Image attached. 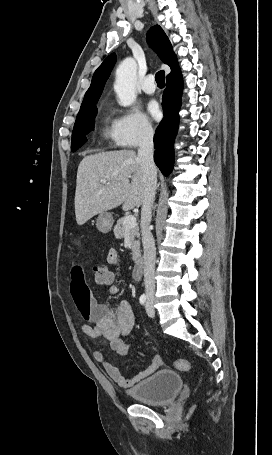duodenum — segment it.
Returning a JSON list of instances; mask_svg holds the SVG:
<instances>
[{"instance_id": "410a0bca", "label": "duodenum", "mask_w": 272, "mask_h": 455, "mask_svg": "<svg viewBox=\"0 0 272 455\" xmlns=\"http://www.w3.org/2000/svg\"><path fill=\"white\" fill-rule=\"evenodd\" d=\"M143 267H144V260H143V257L139 255L136 258L135 265L133 268V273H132L133 278L135 280H139L142 277Z\"/></svg>"}]
</instances>
